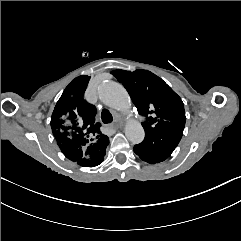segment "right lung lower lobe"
<instances>
[{
  "label": "right lung lower lobe",
  "mask_w": 241,
  "mask_h": 241,
  "mask_svg": "<svg viewBox=\"0 0 241 241\" xmlns=\"http://www.w3.org/2000/svg\"><path fill=\"white\" fill-rule=\"evenodd\" d=\"M108 146V145H107ZM106 146V147H107ZM106 148H105V150L103 151V156L101 157V160L95 165V166H97V165H99L102 161H103V159H104V156H105V154H106ZM94 167V166H93Z\"/></svg>",
  "instance_id": "98d812e1"
}]
</instances>
